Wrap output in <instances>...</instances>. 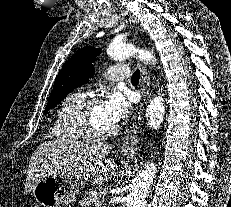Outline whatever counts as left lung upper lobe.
<instances>
[{"mask_svg": "<svg viewBox=\"0 0 231 207\" xmlns=\"http://www.w3.org/2000/svg\"><path fill=\"white\" fill-rule=\"evenodd\" d=\"M99 52L100 49L84 47L66 61L55 79L46 110L54 108L70 92L85 83L95 73L92 63Z\"/></svg>", "mask_w": 231, "mask_h": 207, "instance_id": "5c2ea615", "label": "left lung upper lobe"}]
</instances>
